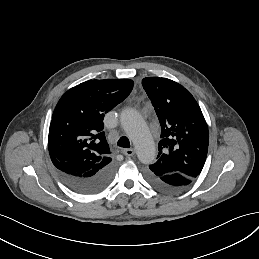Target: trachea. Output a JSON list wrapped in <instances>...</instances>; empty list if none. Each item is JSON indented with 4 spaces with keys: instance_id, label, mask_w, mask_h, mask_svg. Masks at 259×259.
I'll list each match as a JSON object with an SVG mask.
<instances>
[{
    "instance_id": "3493384b",
    "label": "trachea",
    "mask_w": 259,
    "mask_h": 259,
    "mask_svg": "<svg viewBox=\"0 0 259 259\" xmlns=\"http://www.w3.org/2000/svg\"><path fill=\"white\" fill-rule=\"evenodd\" d=\"M117 145L123 148H129L130 147L129 139L123 136L118 140Z\"/></svg>"
}]
</instances>
